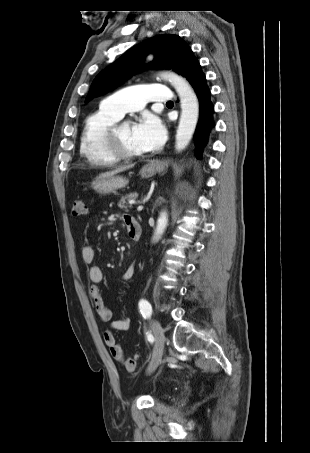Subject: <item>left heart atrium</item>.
<instances>
[{"mask_svg": "<svg viewBox=\"0 0 310 453\" xmlns=\"http://www.w3.org/2000/svg\"><path fill=\"white\" fill-rule=\"evenodd\" d=\"M133 137L144 151L159 148L165 141L166 130L162 121L155 115H146L133 125Z\"/></svg>", "mask_w": 310, "mask_h": 453, "instance_id": "39dd6f15", "label": "left heart atrium"}]
</instances>
